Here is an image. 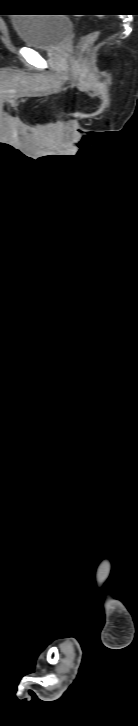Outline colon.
I'll use <instances>...</instances> for the list:
<instances>
[{
	"mask_svg": "<svg viewBox=\"0 0 138 726\" xmlns=\"http://www.w3.org/2000/svg\"><path fill=\"white\" fill-rule=\"evenodd\" d=\"M99 34V31L94 30L82 36L77 45L78 53L81 54L86 51L88 47L98 38Z\"/></svg>",
	"mask_w": 138,
	"mask_h": 726,
	"instance_id": "5ec220e1",
	"label": "colon"
}]
</instances>
